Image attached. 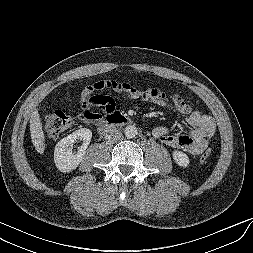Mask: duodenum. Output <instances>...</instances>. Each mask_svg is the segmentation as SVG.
Wrapping results in <instances>:
<instances>
[{
	"instance_id": "duodenum-1",
	"label": "duodenum",
	"mask_w": 253,
	"mask_h": 253,
	"mask_svg": "<svg viewBox=\"0 0 253 253\" xmlns=\"http://www.w3.org/2000/svg\"><path fill=\"white\" fill-rule=\"evenodd\" d=\"M130 123V119L121 113H114L107 117L106 121L98 127V131L101 134H105L115 127L127 125Z\"/></svg>"
}]
</instances>
